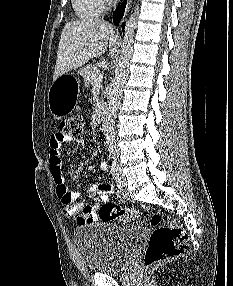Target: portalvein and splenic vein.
<instances>
[{
    "mask_svg": "<svg viewBox=\"0 0 233 286\" xmlns=\"http://www.w3.org/2000/svg\"><path fill=\"white\" fill-rule=\"evenodd\" d=\"M92 78L94 79L95 82H100V81H102L103 76L101 74L92 75Z\"/></svg>",
    "mask_w": 233,
    "mask_h": 286,
    "instance_id": "portal-vein-and-splenic-vein-1",
    "label": "portal vein and splenic vein"
}]
</instances>
